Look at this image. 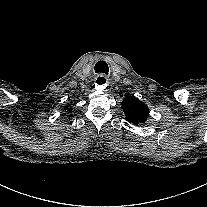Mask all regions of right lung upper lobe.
I'll list each match as a JSON object with an SVG mask.
<instances>
[{"instance_id":"cb5924a9","label":"right lung upper lobe","mask_w":207,"mask_h":207,"mask_svg":"<svg viewBox=\"0 0 207 207\" xmlns=\"http://www.w3.org/2000/svg\"><path fill=\"white\" fill-rule=\"evenodd\" d=\"M64 109L65 110H70L71 108H69V106H65Z\"/></svg>"}]
</instances>
